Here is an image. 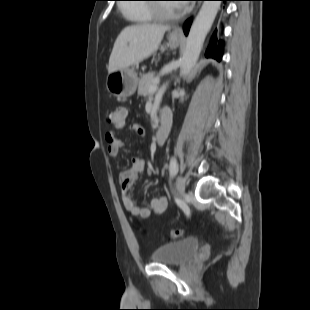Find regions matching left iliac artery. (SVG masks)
Instances as JSON below:
<instances>
[{
  "label": "left iliac artery",
  "mask_w": 310,
  "mask_h": 310,
  "mask_svg": "<svg viewBox=\"0 0 310 310\" xmlns=\"http://www.w3.org/2000/svg\"><path fill=\"white\" fill-rule=\"evenodd\" d=\"M169 171L171 176H175L178 172V163L174 157H172L170 160ZM175 202L183 210L185 215L189 217L191 214L190 208L178 198H175Z\"/></svg>",
  "instance_id": "1"
}]
</instances>
